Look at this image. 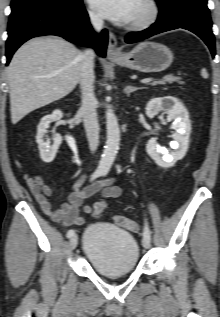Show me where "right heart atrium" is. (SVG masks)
I'll use <instances>...</instances> for the list:
<instances>
[{"label": "right heart atrium", "instance_id": "d8ad5b80", "mask_svg": "<svg viewBox=\"0 0 220 317\" xmlns=\"http://www.w3.org/2000/svg\"><path fill=\"white\" fill-rule=\"evenodd\" d=\"M88 17L94 25H100L102 23L100 16L92 10L88 11Z\"/></svg>", "mask_w": 220, "mask_h": 317}]
</instances>
